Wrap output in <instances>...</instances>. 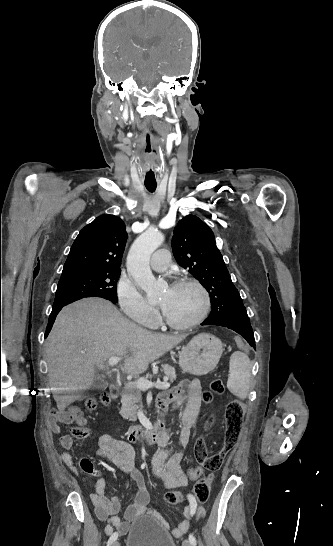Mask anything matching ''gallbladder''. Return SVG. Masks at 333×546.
I'll return each instance as SVG.
<instances>
[{
    "mask_svg": "<svg viewBox=\"0 0 333 546\" xmlns=\"http://www.w3.org/2000/svg\"><path fill=\"white\" fill-rule=\"evenodd\" d=\"M107 386H108V382L104 378L98 376L94 379L93 384L90 387V390L92 392L104 390Z\"/></svg>",
    "mask_w": 333,
    "mask_h": 546,
    "instance_id": "obj_1",
    "label": "gallbladder"
}]
</instances>
